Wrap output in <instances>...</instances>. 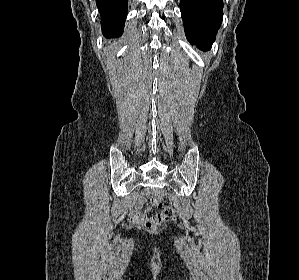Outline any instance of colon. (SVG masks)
<instances>
[{
    "mask_svg": "<svg viewBox=\"0 0 299 280\" xmlns=\"http://www.w3.org/2000/svg\"><path fill=\"white\" fill-rule=\"evenodd\" d=\"M153 203L159 208V213L148 219L146 225L149 229L155 230L160 225L173 221L175 219V212L170 203L161 195H157L153 199Z\"/></svg>",
    "mask_w": 299,
    "mask_h": 280,
    "instance_id": "5ec220e1",
    "label": "colon"
}]
</instances>
